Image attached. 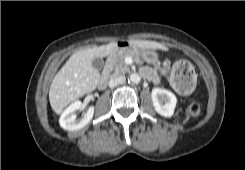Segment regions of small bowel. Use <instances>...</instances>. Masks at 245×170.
I'll list each match as a JSON object with an SVG mask.
<instances>
[{
	"instance_id": "1",
	"label": "small bowel",
	"mask_w": 245,
	"mask_h": 170,
	"mask_svg": "<svg viewBox=\"0 0 245 170\" xmlns=\"http://www.w3.org/2000/svg\"><path fill=\"white\" fill-rule=\"evenodd\" d=\"M143 75L146 76L147 78H149V79L152 80V81H156L155 76L153 75V73H152L151 70H149V69H144V70H143ZM164 75H165L166 77H169V76L171 75V71H170V68H169V67H166V68L164 69Z\"/></svg>"
}]
</instances>
